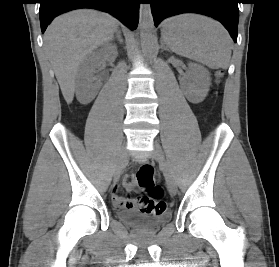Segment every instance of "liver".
I'll list each match as a JSON object with an SVG mask.
<instances>
[{
    "label": "liver",
    "instance_id": "6515ba94",
    "mask_svg": "<svg viewBox=\"0 0 279 267\" xmlns=\"http://www.w3.org/2000/svg\"><path fill=\"white\" fill-rule=\"evenodd\" d=\"M118 21L107 13L80 9L60 15L48 26L45 50L64 99L73 101L76 75L83 59L113 38Z\"/></svg>",
    "mask_w": 279,
    "mask_h": 267
}]
</instances>
